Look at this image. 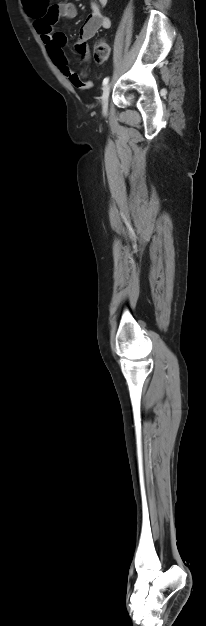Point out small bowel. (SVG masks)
<instances>
[{
    "label": "small bowel",
    "mask_w": 206,
    "mask_h": 626,
    "mask_svg": "<svg viewBox=\"0 0 206 626\" xmlns=\"http://www.w3.org/2000/svg\"><path fill=\"white\" fill-rule=\"evenodd\" d=\"M108 0H91V13L79 31L75 49L85 60L89 58L87 41L91 39L99 30L109 29L111 20L101 13V7L106 6ZM27 14L34 20V27L46 46L47 52L58 67L64 77L70 83L80 89L88 90L93 83L86 79V73H76L68 64V60L63 51V46L67 41L66 35L61 31H54L53 24L59 20H70L76 17L77 9L72 3H59L51 5L48 0H32L24 3Z\"/></svg>",
    "instance_id": "small-bowel-1"
}]
</instances>
